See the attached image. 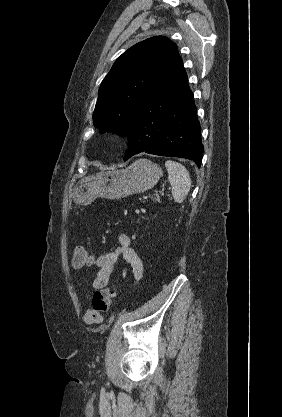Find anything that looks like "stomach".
Returning a JSON list of instances; mask_svg holds the SVG:
<instances>
[{"label":"stomach","mask_w":282,"mask_h":417,"mask_svg":"<svg viewBox=\"0 0 282 417\" xmlns=\"http://www.w3.org/2000/svg\"><path fill=\"white\" fill-rule=\"evenodd\" d=\"M162 176L158 164L148 158H138L128 168H109L82 178L74 188L77 204H90L97 196L124 198L152 188Z\"/></svg>","instance_id":"1"}]
</instances>
